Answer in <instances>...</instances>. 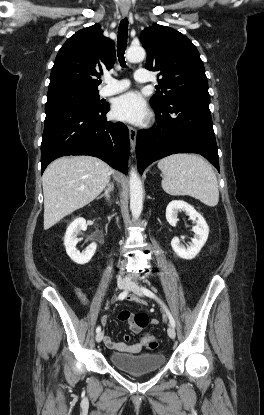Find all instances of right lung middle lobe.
<instances>
[{
	"mask_svg": "<svg viewBox=\"0 0 264 415\" xmlns=\"http://www.w3.org/2000/svg\"><path fill=\"white\" fill-rule=\"evenodd\" d=\"M84 108L96 110L102 107L99 103V94L97 93H67L53 98H48L45 111L61 108Z\"/></svg>",
	"mask_w": 264,
	"mask_h": 415,
	"instance_id": "dd1d6c3e",
	"label": "right lung middle lobe"
}]
</instances>
